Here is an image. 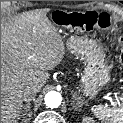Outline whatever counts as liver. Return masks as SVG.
<instances>
[{
    "label": "liver",
    "mask_w": 123,
    "mask_h": 123,
    "mask_svg": "<svg viewBox=\"0 0 123 123\" xmlns=\"http://www.w3.org/2000/svg\"><path fill=\"white\" fill-rule=\"evenodd\" d=\"M67 46L45 13H24L1 25V123H18L23 114V91L39 92L58 66Z\"/></svg>",
    "instance_id": "1"
}]
</instances>
